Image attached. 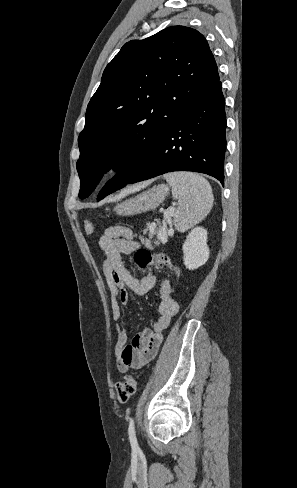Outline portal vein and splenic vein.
I'll return each instance as SVG.
<instances>
[{"label": "portal vein and splenic vein", "instance_id": "obj_1", "mask_svg": "<svg viewBox=\"0 0 297 488\" xmlns=\"http://www.w3.org/2000/svg\"><path fill=\"white\" fill-rule=\"evenodd\" d=\"M173 212H174L173 206L169 207L166 211H163L165 219L169 220L170 217L173 215Z\"/></svg>", "mask_w": 297, "mask_h": 488}]
</instances>
